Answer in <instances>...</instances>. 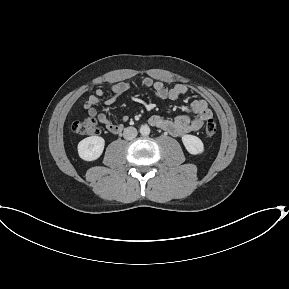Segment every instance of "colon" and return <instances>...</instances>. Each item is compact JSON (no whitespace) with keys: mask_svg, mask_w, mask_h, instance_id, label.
<instances>
[{"mask_svg":"<svg viewBox=\"0 0 289 289\" xmlns=\"http://www.w3.org/2000/svg\"><path fill=\"white\" fill-rule=\"evenodd\" d=\"M72 130L76 134L83 136H93L99 133L96 120L93 118H86L81 121H75L72 124ZM217 131V125L213 119H209L204 127V136L207 139H211L215 136Z\"/></svg>","mask_w":289,"mask_h":289,"instance_id":"obj_1","label":"colon"}]
</instances>
